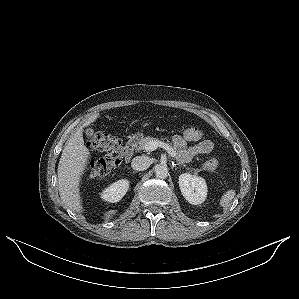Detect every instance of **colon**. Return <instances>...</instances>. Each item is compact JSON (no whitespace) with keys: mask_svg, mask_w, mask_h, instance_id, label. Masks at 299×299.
I'll list each match as a JSON object with an SVG mask.
<instances>
[{"mask_svg":"<svg viewBox=\"0 0 299 299\" xmlns=\"http://www.w3.org/2000/svg\"><path fill=\"white\" fill-rule=\"evenodd\" d=\"M179 136L186 141H200L204 138L205 133L199 128L187 127L181 130ZM89 145L94 150L105 152L103 157L91 161L90 172L93 176L107 175L113 168L119 165L124 155L121 141L108 134L97 133L93 135ZM208 166L215 167L216 161H210Z\"/></svg>","mask_w":299,"mask_h":299,"instance_id":"5ec220e1","label":"colon"}]
</instances>
